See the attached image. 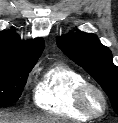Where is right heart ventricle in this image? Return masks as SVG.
I'll use <instances>...</instances> for the list:
<instances>
[{"mask_svg":"<svg viewBox=\"0 0 118 123\" xmlns=\"http://www.w3.org/2000/svg\"><path fill=\"white\" fill-rule=\"evenodd\" d=\"M85 83L86 78L77 70L63 63H54L39 77L34 102L50 114L87 121L90 118L78 110L75 102L77 90Z\"/></svg>","mask_w":118,"mask_h":123,"instance_id":"1","label":"right heart ventricle"}]
</instances>
